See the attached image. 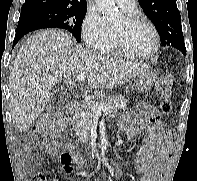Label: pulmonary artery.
I'll return each instance as SVG.
<instances>
[{"mask_svg": "<svg viewBox=\"0 0 197 181\" xmlns=\"http://www.w3.org/2000/svg\"><path fill=\"white\" fill-rule=\"evenodd\" d=\"M116 3L127 13H132L136 8V0H116Z\"/></svg>", "mask_w": 197, "mask_h": 181, "instance_id": "e3ab8cb5", "label": "pulmonary artery"}]
</instances>
